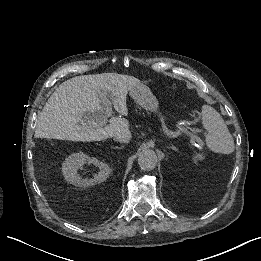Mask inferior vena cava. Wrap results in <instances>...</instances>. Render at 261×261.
<instances>
[{
	"label": "inferior vena cava",
	"instance_id": "602c4592",
	"mask_svg": "<svg viewBox=\"0 0 261 261\" xmlns=\"http://www.w3.org/2000/svg\"><path fill=\"white\" fill-rule=\"evenodd\" d=\"M115 140L121 143H127L131 140V137L129 135H123V136L115 137Z\"/></svg>",
	"mask_w": 261,
	"mask_h": 261
}]
</instances>
